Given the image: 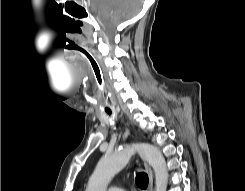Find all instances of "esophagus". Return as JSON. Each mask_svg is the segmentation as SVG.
<instances>
[{
	"mask_svg": "<svg viewBox=\"0 0 245 191\" xmlns=\"http://www.w3.org/2000/svg\"><path fill=\"white\" fill-rule=\"evenodd\" d=\"M144 166H145L146 172L148 174V179H149L147 191H152L153 190V173H152V169L146 162H144Z\"/></svg>",
	"mask_w": 245,
	"mask_h": 191,
	"instance_id": "1",
	"label": "esophagus"
}]
</instances>
